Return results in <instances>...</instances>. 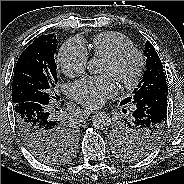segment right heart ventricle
<instances>
[{
    "label": "right heart ventricle",
    "mask_w": 184,
    "mask_h": 184,
    "mask_svg": "<svg viewBox=\"0 0 184 184\" xmlns=\"http://www.w3.org/2000/svg\"><path fill=\"white\" fill-rule=\"evenodd\" d=\"M94 56L107 59L119 51L133 47L126 36L117 32H103L96 35L90 44Z\"/></svg>",
    "instance_id": "right-heart-ventricle-1"
}]
</instances>
